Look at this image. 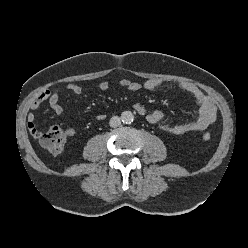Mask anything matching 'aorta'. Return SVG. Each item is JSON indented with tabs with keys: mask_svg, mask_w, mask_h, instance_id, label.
Returning a JSON list of instances; mask_svg holds the SVG:
<instances>
[{
	"mask_svg": "<svg viewBox=\"0 0 248 248\" xmlns=\"http://www.w3.org/2000/svg\"><path fill=\"white\" fill-rule=\"evenodd\" d=\"M121 119L124 123L128 124V123H131L133 122L134 120V115L131 111H124L122 114H121Z\"/></svg>",
	"mask_w": 248,
	"mask_h": 248,
	"instance_id": "obj_1",
	"label": "aorta"
}]
</instances>
